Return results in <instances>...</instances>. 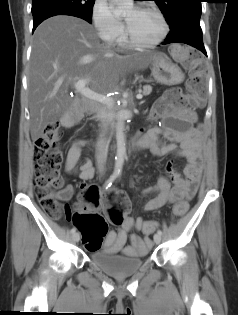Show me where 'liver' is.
<instances>
[{
    "mask_svg": "<svg viewBox=\"0 0 238 315\" xmlns=\"http://www.w3.org/2000/svg\"><path fill=\"white\" fill-rule=\"evenodd\" d=\"M161 53L119 55L101 44L86 21L67 15L45 20L33 37L28 75L30 133L38 140L49 124L73 122L90 104L68 90L88 79L91 90L106 94L133 69H145Z\"/></svg>",
    "mask_w": 238,
    "mask_h": 315,
    "instance_id": "liver-1",
    "label": "liver"
}]
</instances>
